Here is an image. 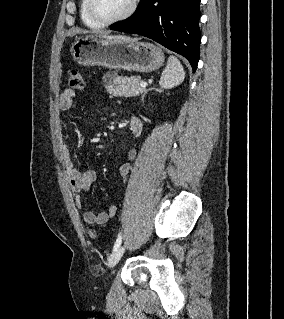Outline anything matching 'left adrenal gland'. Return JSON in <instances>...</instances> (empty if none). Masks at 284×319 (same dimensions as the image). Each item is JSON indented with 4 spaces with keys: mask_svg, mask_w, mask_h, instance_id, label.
<instances>
[{
    "mask_svg": "<svg viewBox=\"0 0 284 319\" xmlns=\"http://www.w3.org/2000/svg\"><path fill=\"white\" fill-rule=\"evenodd\" d=\"M154 88H149V89H146L145 91H144V93H143V95H142V103H144V98H145V95L149 92V91H151V90H153Z\"/></svg>",
    "mask_w": 284,
    "mask_h": 319,
    "instance_id": "left-adrenal-gland-1",
    "label": "left adrenal gland"
}]
</instances>
